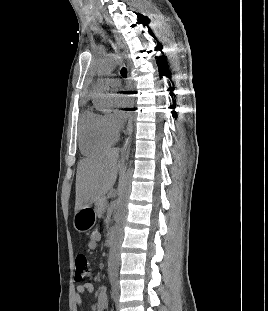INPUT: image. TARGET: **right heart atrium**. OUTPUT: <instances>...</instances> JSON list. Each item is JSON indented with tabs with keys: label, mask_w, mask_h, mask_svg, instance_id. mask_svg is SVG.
<instances>
[{
	"label": "right heart atrium",
	"mask_w": 268,
	"mask_h": 311,
	"mask_svg": "<svg viewBox=\"0 0 268 311\" xmlns=\"http://www.w3.org/2000/svg\"><path fill=\"white\" fill-rule=\"evenodd\" d=\"M106 119L109 126L115 131H118V129L120 128V121L117 119V117L114 114L109 113L106 115Z\"/></svg>",
	"instance_id": "1"
}]
</instances>
